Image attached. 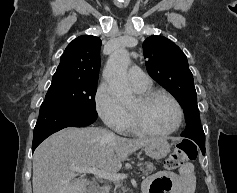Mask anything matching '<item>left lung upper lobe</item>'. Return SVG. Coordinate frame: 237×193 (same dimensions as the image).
Wrapping results in <instances>:
<instances>
[{
    "label": "left lung upper lobe",
    "mask_w": 237,
    "mask_h": 193,
    "mask_svg": "<svg viewBox=\"0 0 237 193\" xmlns=\"http://www.w3.org/2000/svg\"><path fill=\"white\" fill-rule=\"evenodd\" d=\"M146 67L150 76L167 89L184 109L186 130L182 137L205 146L193 75L181 49L163 36L152 35L143 42Z\"/></svg>",
    "instance_id": "left-lung-upper-lobe-1"
}]
</instances>
